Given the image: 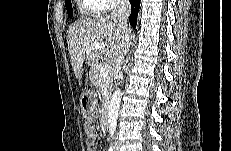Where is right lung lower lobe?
Segmentation results:
<instances>
[{
	"label": "right lung lower lobe",
	"mask_w": 231,
	"mask_h": 151,
	"mask_svg": "<svg viewBox=\"0 0 231 151\" xmlns=\"http://www.w3.org/2000/svg\"><path fill=\"white\" fill-rule=\"evenodd\" d=\"M131 4V14L129 17V21L131 25L135 28L137 23V15L140 7V0H129Z\"/></svg>",
	"instance_id": "right-lung-lower-lobe-1"
}]
</instances>
